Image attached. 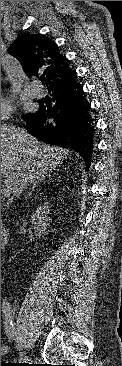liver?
Masks as SVG:
<instances>
[{
  "label": "liver",
  "instance_id": "obj_1",
  "mask_svg": "<svg viewBox=\"0 0 122 366\" xmlns=\"http://www.w3.org/2000/svg\"><path fill=\"white\" fill-rule=\"evenodd\" d=\"M69 151L38 141L24 129L1 125V178L14 196L44 178Z\"/></svg>",
  "mask_w": 122,
  "mask_h": 366
}]
</instances>
